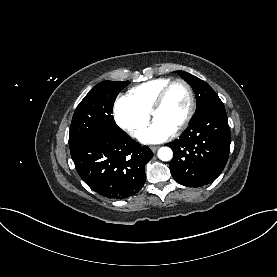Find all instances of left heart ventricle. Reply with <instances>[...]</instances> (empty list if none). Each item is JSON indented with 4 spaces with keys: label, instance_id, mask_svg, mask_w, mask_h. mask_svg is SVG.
Here are the masks:
<instances>
[{
    "label": "left heart ventricle",
    "instance_id": "1",
    "mask_svg": "<svg viewBox=\"0 0 277 277\" xmlns=\"http://www.w3.org/2000/svg\"><path fill=\"white\" fill-rule=\"evenodd\" d=\"M188 108V92L184 86L178 84L171 88L163 106L154 115V119L161 120L176 129L185 118Z\"/></svg>",
    "mask_w": 277,
    "mask_h": 277
}]
</instances>
